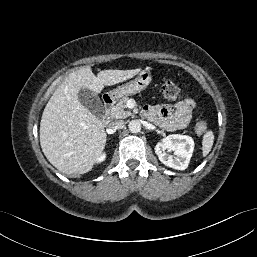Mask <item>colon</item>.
Listing matches in <instances>:
<instances>
[{
	"label": "colon",
	"instance_id": "1",
	"mask_svg": "<svg viewBox=\"0 0 257 257\" xmlns=\"http://www.w3.org/2000/svg\"><path fill=\"white\" fill-rule=\"evenodd\" d=\"M162 94L168 100H177L181 97L180 88L171 80L164 78L162 80ZM207 124L204 121L196 123V131L202 133L206 131Z\"/></svg>",
	"mask_w": 257,
	"mask_h": 257
}]
</instances>
